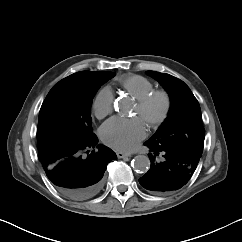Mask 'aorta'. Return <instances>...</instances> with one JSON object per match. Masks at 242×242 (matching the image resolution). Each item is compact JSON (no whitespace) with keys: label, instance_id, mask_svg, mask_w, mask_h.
Returning <instances> with one entry per match:
<instances>
[{"label":"aorta","instance_id":"obj_1","mask_svg":"<svg viewBox=\"0 0 242 242\" xmlns=\"http://www.w3.org/2000/svg\"><path fill=\"white\" fill-rule=\"evenodd\" d=\"M132 164L137 172L145 173L148 171V169L150 167V159L145 155H137L133 159Z\"/></svg>","mask_w":242,"mask_h":242}]
</instances>
